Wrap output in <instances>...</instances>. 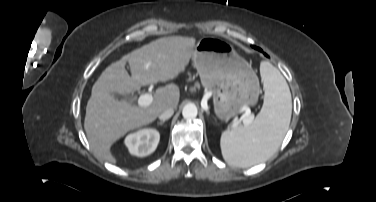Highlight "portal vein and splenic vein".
Returning <instances> with one entry per match:
<instances>
[{
	"instance_id": "18ae733b",
	"label": "portal vein and splenic vein",
	"mask_w": 376,
	"mask_h": 202,
	"mask_svg": "<svg viewBox=\"0 0 376 202\" xmlns=\"http://www.w3.org/2000/svg\"><path fill=\"white\" fill-rule=\"evenodd\" d=\"M152 101H153V96H152L151 94H149V93H145V94H143V95H141V96L139 97V104H140L141 106H148L149 104L152 103ZM242 121H243L244 124H250L251 121H252V118H251V117H246V116H245V117L242 119Z\"/></svg>"
}]
</instances>
